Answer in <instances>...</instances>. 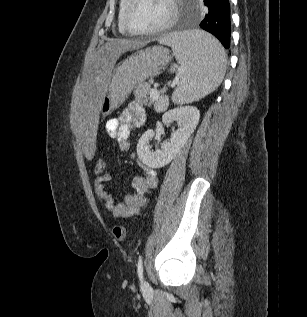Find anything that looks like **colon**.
I'll list each match as a JSON object with an SVG mask.
<instances>
[{"mask_svg":"<svg viewBox=\"0 0 307 317\" xmlns=\"http://www.w3.org/2000/svg\"><path fill=\"white\" fill-rule=\"evenodd\" d=\"M107 171V163L104 159L97 160L95 164V173L103 174ZM114 236L119 241H124L127 238V230L123 225H116L113 229Z\"/></svg>","mask_w":307,"mask_h":317,"instance_id":"obj_1","label":"colon"}]
</instances>
